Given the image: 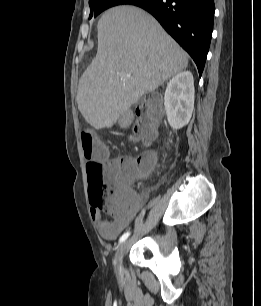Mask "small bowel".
Returning <instances> with one entry per match:
<instances>
[{
    "instance_id": "c3829d8e",
    "label": "small bowel",
    "mask_w": 261,
    "mask_h": 306,
    "mask_svg": "<svg viewBox=\"0 0 261 306\" xmlns=\"http://www.w3.org/2000/svg\"><path fill=\"white\" fill-rule=\"evenodd\" d=\"M143 158L148 165V171H150L155 165L156 155L152 152H147ZM111 163L120 167L121 173L118 183L128 189L129 195L115 202L114 207L109 210L111 214L110 220L105 219L99 209H91V216L95 221L99 234L106 241H113L117 238L133 220L143 203L142 197L137 195L131 188V184L136 177L137 161L132 157H125L113 160Z\"/></svg>"
}]
</instances>
